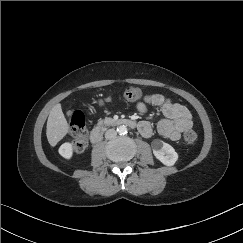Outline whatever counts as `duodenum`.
Here are the masks:
<instances>
[{"instance_id":"duodenum-1","label":"duodenum","mask_w":243,"mask_h":243,"mask_svg":"<svg viewBox=\"0 0 243 243\" xmlns=\"http://www.w3.org/2000/svg\"><path fill=\"white\" fill-rule=\"evenodd\" d=\"M112 125H122V126H127L133 129L138 128V124L131 120V119H118V120H113L110 122ZM103 135V128L102 127H95L91 133H90V140L92 143H97L101 140Z\"/></svg>"}]
</instances>
